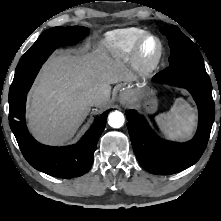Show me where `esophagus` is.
<instances>
[{
    "mask_svg": "<svg viewBox=\"0 0 221 221\" xmlns=\"http://www.w3.org/2000/svg\"><path fill=\"white\" fill-rule=\"evenodd\" d=\"M119 100L122 104H125V103L129 102L130 96H129L128 92L121 91L120 94H119Z\"/></svg>",
    "mask_w": 221,
    "mask_h": 221,
    "instance_id": "obj_1",
    "label": "esophagus"
}]
</instances>
